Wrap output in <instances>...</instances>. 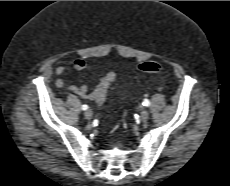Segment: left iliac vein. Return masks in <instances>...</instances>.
I'll return each mask as SVG.
<instances>
[{
  "label": "left iliac vein",
  "mask_w": 230,
  "mask_h": 186,
  "mask_svg": "<svg viewBox=\"0 0 230 186\" xmlns=\"http://www.w3.org/2000/svg\"><path fill=\"white\" fill-rule=\"evenodd\" d=\"M149 118V112L147 109H143L140 113L141 121H146Z\"/></svg>",
  "instance_id": "1"
}]
</instances>
